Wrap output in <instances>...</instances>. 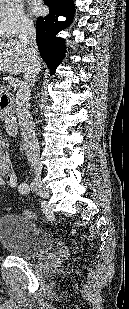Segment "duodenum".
Returning <instances> with one entry per match:
<instances>
[{
    "instance_id": "obj_1",
    "label": "duodenum",
    "mask_w": 129,
    "mask_h": 309,
    "mask_svg": "<svg viewBox=\"0 0 129 309\" xmlns=\"http://www.w3.org/2000/svg\"><path fill=\"white\" fill-rule=\"evenodd\" d=\"M0 111L3 116V123L6 132L9 135H14L17 132L18 123L17 118L13 113L12 103L7 101H1Z\"/></svg>"
}]
</instances>
